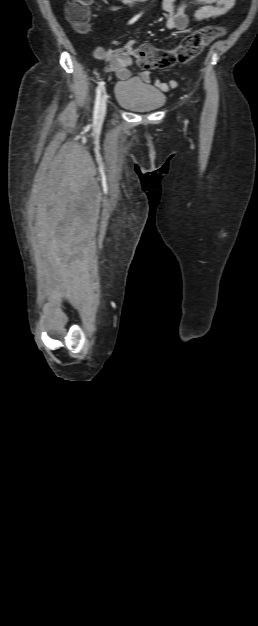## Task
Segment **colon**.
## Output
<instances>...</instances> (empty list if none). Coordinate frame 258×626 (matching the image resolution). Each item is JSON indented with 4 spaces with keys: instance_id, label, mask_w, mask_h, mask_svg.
Here are the masks:
<instances>
[{
    "instance_id": "obj_1",
    "label": "colon",
    "mask_w": 258,
    "mask_h": 626,
    "mask_svg": "<svg viewBox=\"0 0 258 626\" xmlns=\"http://www.w3.org/2000/svg\"><path fill=\"white\" fill-rule=\"evenodd\" d=\"M90 0H69L66 7L67 18L76 30L84 32L88 29ZM222 33L219 27L208 26L189 34L172 52L160 53L152 45L136 46L129 41L125 50L136 58L143 68H164L176 61L186 62L216 39Z\"/></svg>"
}]
</instances>
